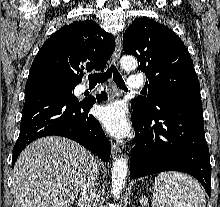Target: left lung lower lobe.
Segmentation results:
<instances>
[{"instance_id":"1","label":"left lung lower lobe","mask_w":220,"mask_h":207,"mask_svg":"<svg viewBox=\"0 0 220 207\" xmlns=\"http://www.w3.org/2000/svg\"><path fill=\"white\" fill-rule=\"evenodd\" d=\"M131 119L136 132L130 158L132 179L181 171L198 179L211 195V165L200 93L165 97L151 115L134 108Z\"/></svg>"}]
</instances>
